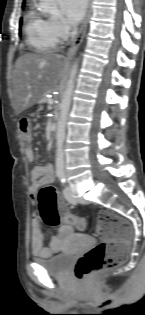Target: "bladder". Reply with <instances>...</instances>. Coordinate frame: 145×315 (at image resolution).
Returning <instances> with one entry per match:
<instances>
[{"instance_id":"bladder-1","label":"bladder","mask_w":145,"mask_h":315,"mask_svg":"<svg viewBox=\"0 0 145 315\" xmlns=\"http://www.w3.org/2000/svg\"><path fill=\"white\" fill-rule=\"evenodd\" d=\"M88 249V248H74ZM74 262V256H65V252L52 256L46 260H38V263L48 272L56 277H63L70 270Z\"/></svg>"}]
</instances>
